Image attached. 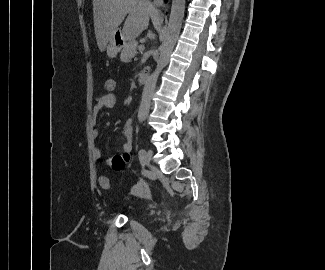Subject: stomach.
Returning <instances> with one entry per match:
<instances>
[{
    "mask_svg": "<svg viewBox=\"0 0 325 270\" xmlns=\"http://www.w3.org/2000/svg\"><path fill=\"white\" fill-rule=\"evenodd\" d=\"M126 41H128V39H126L124 33L122 31H116L111 40L108 42L107 55L110 58L116 57L117 53L121 50Z\"/></svg>",
    "mask_w": 325,
    "mask_h": 270,
    "instance_id": "obj_1",
    "label": "stomach"
}]
</instances>
